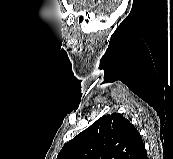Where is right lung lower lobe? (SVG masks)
<instances>
[{
  "mask_svg": "<svg viewBox=\"0 0 173 159\" xmlns=\"http://www.w3.org/2000/svg\"><path fill=\"white\" fill-rule=\"evenodd\" d=\"M138 159H147L146 152H144Z\"/></svg>",
  "mask_w": 173,
  "mask_h": 159,
  "instance_id": "right-lung-lower-lobe-1",
  "label": "right lung lower lobe"
}]
</instances>
